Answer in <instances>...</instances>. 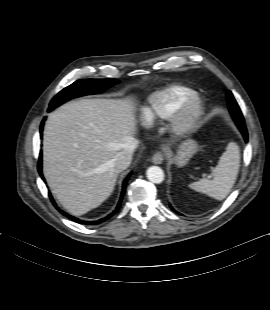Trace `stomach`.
I'll return each instance as SVG.
<instances>
[{
  "instance_id": "stomach-1",
  "label": "stomach",
  "mask_w": 270,
  "mask_h": 310,
  "mask_svg": "<svg viewBox=\"0 0 270 310\" xmlns=\"http://www.w3.org/2000/svg\"><path fill=\"white\" fill-rule=\"evenodd\" d=\"M197 151L198 144L196 141L188 139L182 142L178 147L177 154L174 159L175 163L179 167L185 166Z\"/></svg>"
}]
</instances>
